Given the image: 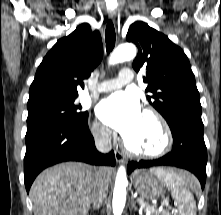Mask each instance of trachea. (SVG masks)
<instances>
[{"label":"trachea","mask_w":221,"mask_h":215,"mask_svg":"<svg viewBox=\"0 0 221 215\" xmlns=\"http://www.w3.org/2000/svg\"><path fill=\"white\" fill-rule=\"evenodd\" d=\"M115 28L112 21H108L105 31V41H106V50L107 53H110L115 46Z\"/></svg>","instance_id":"1"}]
</instances>
